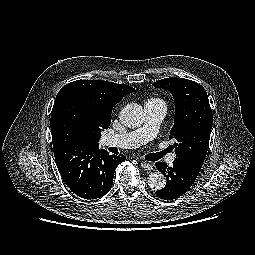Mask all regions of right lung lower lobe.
<instances>
[{
  "label": "right lung lower lobe",
  "instance_id": "1",
  "mask_svg": "<svg viewBox=\"0 0 255 255\" xmlns=\"http://www.w3.org/2000/svg\"><path fill=\"white\" fill-rule=\"evenodd\" d=\"M54 156L66 185L84 199H97L107 194L117 165L126 160L122 154L109 155L104 149L90 146H60L54 149Z\"/></svg>",
  "mask_w": 255,
  "mask_h": 255
}]
</instances>
